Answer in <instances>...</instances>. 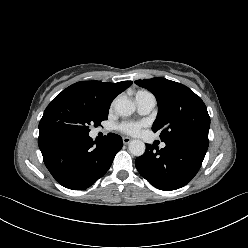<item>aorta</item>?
Here are the masks:
<instances>
[{"label":"aorta","instance_id":"762f6f07","mask_svg":"<svg viewBox=\"0 0 248 248\" xmlns=\"http://www.w3.org/2000/svg\"><path fill=\"white\" fill-rule=\"evenodd\" d=\"M115 112L119 116L127 117L134 113L135 105L132 101L127 99H117L115 102ZM146 146L141 140H132L129 143V151L134 156H141L144 154Z\"/></svg>","mask_w":248,"mask_h":248}]
</instances>
